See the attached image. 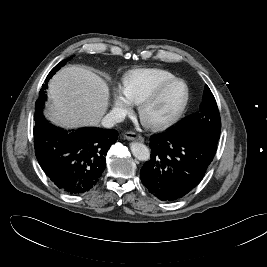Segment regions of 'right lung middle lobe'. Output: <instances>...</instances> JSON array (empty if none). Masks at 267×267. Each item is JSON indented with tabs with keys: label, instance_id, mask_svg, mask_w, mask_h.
<instances>
[{
	"label": "right lung middle lobe",
	"instance_id": "1",
	"mask_svg": "<svg viewBox=\"0 0 267 267\" xmlns=\"http://www.w3.org/2000/svg\"><path fill=\"white\" fill-rule=\"evenodd\" d=\"M72 57L61 61L59 64H57L48 74V76L46 77L45 80V84L42 85V88L40 90V96L38 98V100L36 101L35 104V118L40 116L42 114V109H43V104L46 100V89L48 86V81L50 78H52V76L56 73L57 70H59L62 66H64L66 64L67 61H69Z\"/></svg>",
	"mask_w": 267,
	"mask_h": 267
}]
</instances>
